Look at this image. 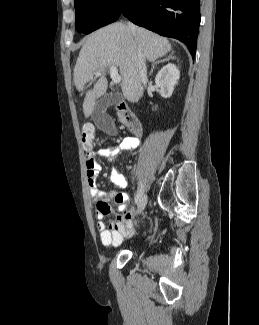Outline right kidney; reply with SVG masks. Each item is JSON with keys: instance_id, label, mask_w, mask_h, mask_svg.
<instances>
[{"instance_id": "1", "label": "right kidney", "mask_w": 259, "mask_h": 325, "mask_svg": "<svg viewBox=\"0 0 259 325\" xmlns=\"http://www.w3.org/2000/svg\"><path fill=\"white\" fill-rule=\"evenodd\" d=\"M180 78V71L173 63L163 66L155 77L156 86L160 89V95L163 98H169L174 91Z\"/></svg>"}]
</instances>
